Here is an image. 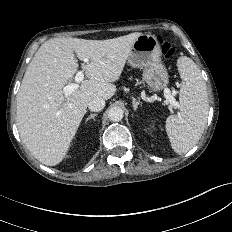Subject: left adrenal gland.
I'll return each instance as SVG.
<instances>
[{"label": "left adrenal gland", "mask_w": 232, "mask_h": 232, "mask_svg": "<svg viewBox=\"0 0 232 232\" xmlns=\"http://www.w3.org/2000/svg\"><path fill=\"white\" fill-rule=\"evenodd\" d=\"M132 105H133L134 111H136L139 105L142 106V103H140L134 97H132Z\"/></svg>", "instance_id": "1"}]
</instances>
